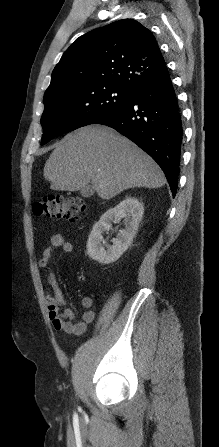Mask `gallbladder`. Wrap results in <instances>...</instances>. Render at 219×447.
<instances>
[{"mask_svg":"<svg viewBox=\"0 0 219 447\" xmlns=\"http://www.w3.org/2000/svg\"><path fill=\"white\" fill-rule=\"evenodd\" d=\"M80 194L84 198H89L94 194V190L90 186H86L80 190Z\"/></svg>","mask_w":219,"mask_h":447,"instance_id":"1","label":"gallbladder"}]
</instances>
